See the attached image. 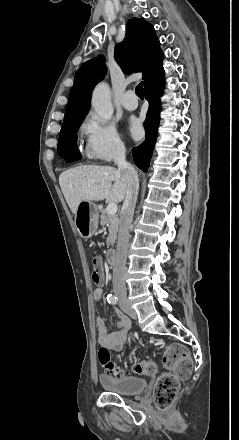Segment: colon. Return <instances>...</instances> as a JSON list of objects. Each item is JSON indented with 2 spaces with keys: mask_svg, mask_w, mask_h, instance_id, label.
<instances>
[{
  "mask_svg": "<svg viewBox=\"0 0 239 440\" xmlns=\"http://www.w3.org/2000/svg\"><path fill=\"white\" fill-rule=\"evenodd\" d=\"M92 265L93 282L97 285L103 284L105 277L100 260L94 258ZM98 359L102 367L111 374L118 377L128 374L126 367L115 364L111 360L107 349L101 348L99 350ZM163 362L166 372L158 377L154 387L155 401L161 410L167 409L172 405L178 392L179 381L187 377L192 368L190 356L181 345L168 346L163 354ZM134 371L137 374L153 375L157 372V365L152 360H142L135 365Z\"/></svg>",
  "mask_w": 239,
  "mask_h": 440,
  "instance_id": "colon-1",
  "label": "colon"
}]
</instances>
